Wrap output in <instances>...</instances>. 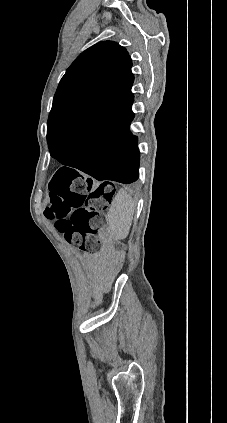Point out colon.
<instances>
[{
  "label": "colon",
  "instance_id": "5ec220e1",
  "mask_svg": "<svg viewBox=\"0 0 227 423\" xmlns=\"http://www.w3.org/2000/svg\"><path fill=\"white\" fill-rule=\"evenodd\" d=\"M113 194V187L107 183L95 186L73 171L60 170L51 181L45 215L68 243L94 252L99 246L96 235L103 228L104 210Z\"/></svg>",
  "mask_w": 227,
  "mask_h": 423
}]
</instances>
